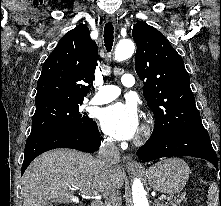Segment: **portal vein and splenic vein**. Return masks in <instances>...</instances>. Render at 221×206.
Segmentation results:
<instances>
[{
	"label": "portal vein and splenic vein",
	"mask_w": 221,
	"mask_h": 206,
	"mask_svg": "<svg viewBox=\"0 0 221 206\" xmlns=\"http://www.w3.org/2000/svg\"><path fill=\"white\" fill-rule=\"evenodd\" d=\"M87 195H89L88 197H92V198H100V196L98 195V193L96 191H89V192H86ZM160 200H165L166 199V196L165 195H161L159 197Z\"/></svg>",
	"instance_id": "obj_1"
}]
</instances>
